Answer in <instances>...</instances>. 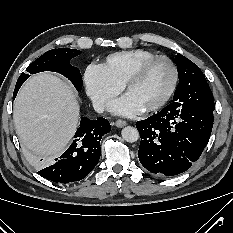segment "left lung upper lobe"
<instances>
[{
  "mask_svg": "<svg viewBox=\"0 0 233 233\" xmlns=\"http://www.w3.org/2000/svg\"><path fill=\"white\" fill-rule=\"evenodd\" d=\"M179 84L175 90L173 102L179 105L214 111V99L202 71L192 61L177 54Z\"/></svg>",
  "mask_w": 233,
  "mask_h": 233,
  "instance_id": "left-lung-upper-lobe-1",
  "label": "left lung upper lobe"
}]
</instances>
